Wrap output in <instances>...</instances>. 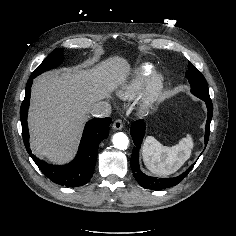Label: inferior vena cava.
<instances>
[{
  "instance_id": "inferior-vena-cava-1",
  "label": "inferior vena cava",
  "mask_w": 236,
  "mask_h": 236,
  "mask_svg": "<svg viewBox=\"0 0 236 236\" xmlns=\"http://www.w3.org/2000/svg\"><path fill=\"white\" fill-rule=\"evenodd\" d=\"M89 113L94 117H108L111 114V105L107 102H97L90 108Z\"/></svg>"
}]
</instances>
